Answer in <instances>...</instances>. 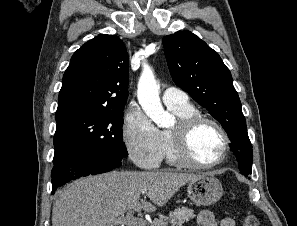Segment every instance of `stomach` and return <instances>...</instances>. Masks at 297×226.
Returning <instances> with one entry per match:
<instances>
[{"mask_svg": "<svg viewBox=\"0 0 297 226\" xmlns=\"http://www.w3.org/2000/svg\"><path fill=\"white\" fill-rule=\"evenodd\" d=\"M188 197L199 206L216 203L223 195L222 184L213 176L204 175L188 183Z\"/></svg>", "mask_w": 297, "mask_h": 226, "instance_id": "obj_1", "label": "stomach"}]
</instances>
